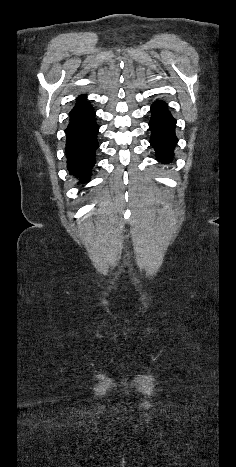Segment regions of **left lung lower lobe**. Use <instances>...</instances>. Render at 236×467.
Returning a JSON list of instances; mask_svg holds the SVG:
<instances>
[{
	"label": "left lung lower lobe",
	"mask_w": 236,
	"mask_h": 467,
	"mask_svg": "<svg viewBox=\"0 0 236 467\" xmlns=\"http://www.w3.org/2000/svg\"><path fill=\"white\" fill-rule=\"evenodd\" d=\"M151 112L150 143L156 150L157 160L169 163L172 161L173 151L178 142L175 135L176 120L168 112L167 104L163 101H156L151 106Z\"/></svg>",
	"instance_id": "0a47b994"
}]
</instances>
